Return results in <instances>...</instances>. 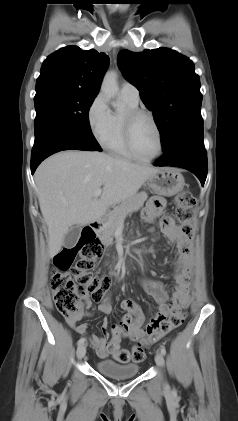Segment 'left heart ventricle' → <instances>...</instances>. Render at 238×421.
Listing matches in <instances>:
<instances>
[{"instance_id": "left-heart-ventricle-1", "label": "left heart ventricle", "mask_w": 238, "mask_h": 421, "mask_svg": "<svg viewBox=\"0 0 238 421\" xmlns=\"http://www.w3.org/2000/svg\"><path fill=\"white\" fill-rule=\"evenodd\" d=\"M133 144L136 152L144 157H153L159 148L155 127L147 117H140L133 127Z\"/></svg>"}]
</instances>
